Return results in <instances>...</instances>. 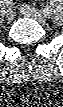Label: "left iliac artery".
I'll use <instances>...</instances> for the list:
<instances>
[{"label":"left iliac artery","instance_id":"1","mask_svg":"<svg viewBox=\"0 0 63 107\" xmlns=\"http://www.w3.org/2000/svg\"><path fill=\"white\" fill-rule=\"evenodd\" d=\"M51 13H52V11H51V9L49 8V7H46V8H44V10H43V14L45 15V16H50L51 15Z\"/></svg>","mask_w":63,"mask_h":107}]
</instances>
